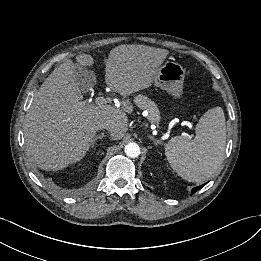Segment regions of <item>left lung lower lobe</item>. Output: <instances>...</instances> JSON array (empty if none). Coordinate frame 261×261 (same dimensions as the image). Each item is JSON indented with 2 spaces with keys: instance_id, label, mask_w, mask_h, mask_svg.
Instances as JSON below:
<instances>
[{
  "instance_id": "1",
  "label": "left lung lower lobe",
  "mask_w": 261,
  "mask_h": 261,
  "mask_svg": "<svg viewBox=\"0 0 261 261\" xmlns=\"http://www.w3.org/2000/svg\"><path fill=\"white\" fill-rule=\"evenodd\" d=\"M205 185V184H204ZM204 185H201V186H198V187H195L192 189V194L197 192L199 189H201Z\"/></svg>"
}]
</instances>
